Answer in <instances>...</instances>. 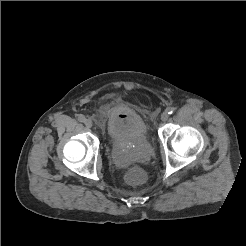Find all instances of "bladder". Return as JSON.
Listing matches in <instances>:
<instances>
[{"instance_id": "bladder-1", "label": "bladder", "mask_w": 246, "mask_h": 246, "mask_svg": "<svg viewBox=\"0 0 246 246\" xmlns=\"http://www.w3.org/2000/svg\"><path fill=\"white\" fill-rule=\"evenodd\" d=\"M105 110L106 132L112 142L142 141L148 137V126L142 115L134 108L119 101L109 102ZM152 155L151 148L122 152L113 150L111 161L118 167L146 163Z\"/></svg>"}]
</instances>
